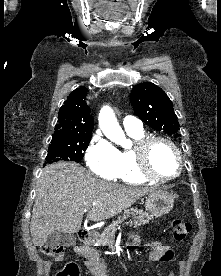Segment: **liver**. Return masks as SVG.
<instances>
[{
	"instance_id": "1",
	"label": "liver",
	"mask_w": 221,
	"mask_h": 276,
	"mask_svg": "<svg viewBox=\"0 0 221 276\" xmlns=\"http://www.w3.org/2000/svg\"><path fill=\"white\" fill-rule=\"evenodd\" d=\"M153 191L96 179L84 167L71 162L46 166L38 180L30 222L33 243L43 246L56 230L78 232L85 209L88 220L102 221Z\"/></svg>"
}]
</instances>
